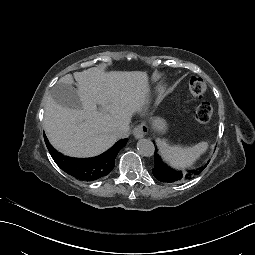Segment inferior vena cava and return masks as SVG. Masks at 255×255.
Returning a JSON list of instances; mask_svg holds the SVG:
<instances>
[{
  "instance_id": "obj_1",
  "label": "inferior vena cava",
  "mask_w": 255,
  "mask_h": 255,
  "mask_svg": "<svg viewBox=\"0 0 255 255\" xmlns=\"http://www.w3.org/2000/svg\"><path fill=\"white\" fill-rule=\"evenodd\" d=\"M129 130H130L129 123L121 124L117 129L116 133L117 139L127 138L129 136Z\"/></svg>"
}]
</instances>
